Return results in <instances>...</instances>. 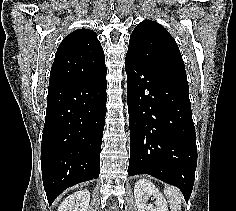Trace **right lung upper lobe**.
Instances as JSON below:
<instances>
[{
	"label": "right lung upper lobe",
	"instance_id": "right-lung-upper-lobe-1",
	"mask_svg": "<svg viewBox=\"0 0 236 211\" xmlns=\"http://www.w3.org/2000/svg\"><path fill=\"white\" fill-rule=\"evenodd\" d=\"M106 71L105 55L90 29H78L59 45L50 72L49 88L80 83Z\"/></svg>",
	"mask_w": 236,
	"mask_h": 211
}]
</instances>
